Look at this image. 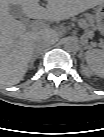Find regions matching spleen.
I'll return each mask as SVG.
<instances>
[{
	"label": "spleen",
	"mask_w": 104,
	"mask_h": 137,
	"mask_svg": "<svg viewBox=\"0 0 104 137\" xmlns=\"http://www.w3.org/2000/svg\"><path fill=\"white\" fill-rule=\"evenodd\" d=\"M88 67L95 73H103V52L99 49L88 50L85 53Z\"/></svg>",
	"instance_id": "1"
}]
</instances>
